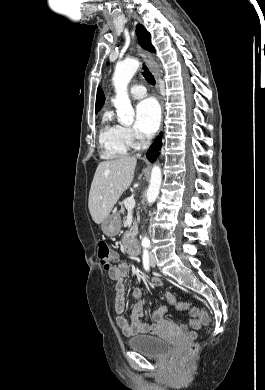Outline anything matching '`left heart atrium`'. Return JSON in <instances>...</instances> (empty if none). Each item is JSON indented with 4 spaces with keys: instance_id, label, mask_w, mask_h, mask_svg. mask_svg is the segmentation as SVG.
Listing matches in <instances>:
<instances>
[{
    "instance_id": "39dd6f15",
    "label": "left heart atrium",
    "mask_w": 265,
    "mask_h": 390,
    "mask_svg": "<svg viewBox=\"0 0 265 390\" xmlns=\"http://www.w3.org/2000/svg\"><path fill=\"white\" fill-rule=\"evenodd\" d=\"M160 123V109L153 99H145L136 106V128L146 135L156 132Z\"/></svg>"
}]
</instances>
